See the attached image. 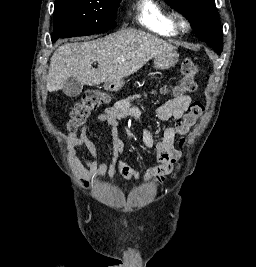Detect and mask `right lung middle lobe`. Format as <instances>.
Here are the masks:
<instances>
[{"label":"right lung middle lobe","mask_w":256,"mask_h":267,"mask_svg":"<svg viewBox=\"0 0 256 267\" xmlns=\"http://www.w3.org/2000/svg\"><path fill=\"white\" fill-rule=\"evenodd\" d=\"M121 0H55L51 40L91 35L116 26Z\"/></svg>","instance_id":"right-lung-middle-lobe-1"}]
</instances>
